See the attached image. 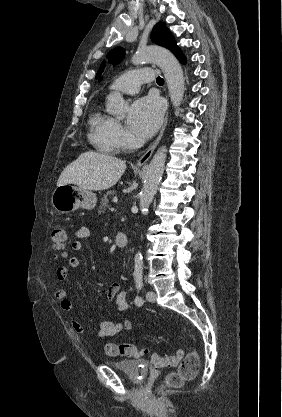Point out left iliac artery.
Here are the masks:
<instances>
[{
	"label": "left iliac artery",
	"mask_w": 282,
	"mask_h": 417,
	"mask_svg": "<svg viewBox=\"0 0 282 417\" xmlns=\"http://www.w3.org/2000/svg\"><path fill=\"white\" fill-rule=\"evenodd\" d=\"M135 283H136V288L138 291H140L143 288V280L141 277H138L135 279ZM135 304L137 306H141L143 304V299L140 296H136L135 300H134Z\"/></svg>",
	"instance_id": "1"
}]
</instances>
